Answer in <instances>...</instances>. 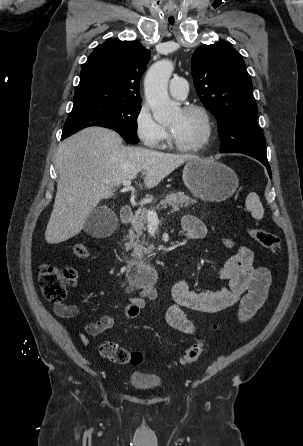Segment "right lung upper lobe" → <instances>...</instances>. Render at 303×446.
<instances>
[{
	"label": "right lung upper lobe",
	"mask_w": 303,
	"mask_h": 446,
	"mask_svg": "<svg viewBox=\"0 0 303 446\" xmlns=\"http://www.w3.org/2000/svg\"><path fill=\"white\" fill-rule=\"evenodd\" d=\"M150 51L137 41H108L97 46L81 70L74 106L100 102L140 103L139 81Z\"/></svg>",
	"instance_id": "1"
}]
</instances>
